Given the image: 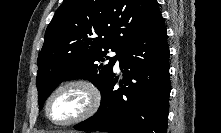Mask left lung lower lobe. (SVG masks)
<instances>
[{
  "label": "left lung lower lobe",
  "instance_id": "obj_1",
  "mask_svg": "<svg viewBox=\"0 0 221 133\" xmlns=\"http://www.w3.org/2000/svg\"><path fill=\"white\" fill-rule=\"evenodd\" d=\"M121 88L112 76L101 90V105L91 118L74 126L81 131L166 133L169 96V47L162 16L119 52ZM124 84V85H123Z\"/></svg>",
  "mask_w": 221,
  "mask_h": 133
}]
</instances>
